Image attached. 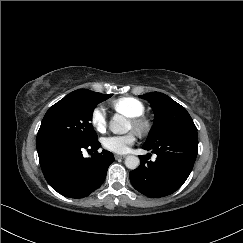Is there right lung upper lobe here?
<instances>
[{
    "label": "right lung upper lobe",
    "mask_w": 243,
    "mask_h": 243,
    "mask_svg": "<svg viewBox=\"0 0 243 243\" xmlns=\"http://www.w3.org/2000/svg\"><path fill=\"white\" fill-rule=\"evenodd\" d=\"M87 91H89V90H86V89H79V90H76V91H74L75 93H85V92H87Z\"/></svg>",
    "instance_id": "cb5924a9"
}]
</instances>
